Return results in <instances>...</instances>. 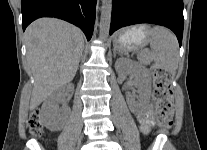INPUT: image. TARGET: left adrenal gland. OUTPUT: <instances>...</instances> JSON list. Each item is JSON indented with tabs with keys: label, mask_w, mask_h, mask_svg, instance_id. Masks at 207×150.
<instances>
[{
	"label": "left adrenal gland",
	"mask_w": 207,
	"mask_h": 150,
	"mask_svg": "<svg viewBox=\"0 0 207 150\" xmlns=\"http://www.w3.org/2000/svg\"><path fill=\"white\" fill-rule=\"evenodd\" d=\"M116 54H117V52H116V50H114V56H116Z\"/></svg>",
	"instance_id": "left-adrenal-gland-1"
}]
</instances>
